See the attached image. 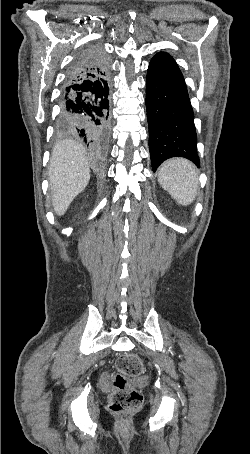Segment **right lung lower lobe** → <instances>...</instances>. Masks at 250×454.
I'll use <instances>...</instances> for the list:
<instances>
[{
    "instance_id": "1",
    "label": "right lung lower lobe",
    "mask_w": 250,
    "mask_h": 454,
    "mask_svg": "<svg viewBox=\"0 0 250 454\" xmlns=\"http://www.w3.org/2000/svg\"><path fill=\"white\" fill-rule=\"evenodd\" d=\"M109 61L99 46L72 62L60 97V125L96 148L107 145L110 127Z\"/></svg>"
}]
</instances>
